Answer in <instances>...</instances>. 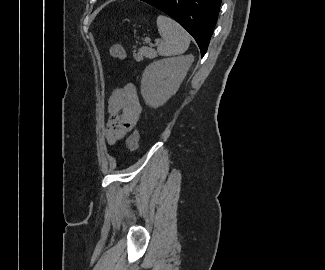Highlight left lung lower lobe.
Instances as JSON below:
<instances>
[{
	"mask_svg": "<svg viewBox=\"0 0 325 270\" xmlns=\"http://www.w3.org/2000/svg\"><path fill=\"white\" fill-rule=\"evenodd\" d=\"M176 20L196 40L203 57L207 51L221 0H141Z\"/></svg>",
	"mask_w": 325,
	"mask_h": 270,
	"instance_id": "1",
	"label": "left lung lower lobe"
}]
</instances>
